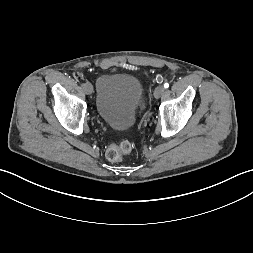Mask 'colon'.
Masks as SVG:
<instances>
[{
  "instance_id": "1",
  "label": "colon",
  "mask_w": 253,
  "mask_h": 253,
  "mask_svg": "<svg viewBox=\"0 0 253 253\" xmlns=\"http://www.w3.org/2000/svg\"><path fill=\"white\" fill-rule=\"evenodd\" d=\"M133 144L124 140L118 144H113L108 147L106 157L110 162H120L122 159L131 152Z\"/></svg>"
}]
</instances>
